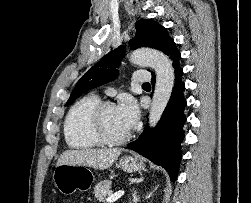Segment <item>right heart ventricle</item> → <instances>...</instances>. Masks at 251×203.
I'll return each instance as SVG.
<instances>
[{"label":"right heart ventricle","mask_w":251,"mask_h":203,"mask_svg":"<svg viewBox=\"0 0 251 203\" xmlns=\"http://www.w3.org/2000/svg\"><path fill=\"white\" fill-rule=\"evenodd\" d=\"M99 103L98 96L89 94L77 100L68 110L63 130L65 141L70 148L87 150L101 144L89 128L91 113Z\"/></svg>","instance_id":"obj_1"}]
</instances>
